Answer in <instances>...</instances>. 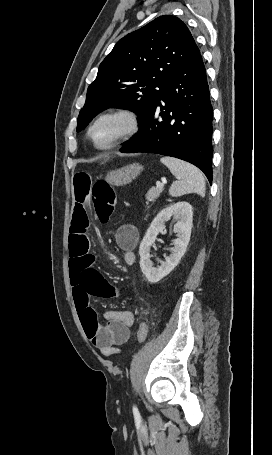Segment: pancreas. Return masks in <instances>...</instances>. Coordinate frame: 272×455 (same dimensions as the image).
Segmentation results:
<instances>
[{"mask_svg":"<svg viewBox=\"0 0 272 455\" xmlns=\"http://www.w3.org/2000/svg\"><path fill=\"white\" fill-rule=\"evenodd\" d=\"M163 188H158V187H152L149 189L148 193L146 194V204H149L150 202H154L159 195L162 193Z\"/></svg>","mask_w":272,"mask_h":455,"instance_id":"1","label":"pancreas"}]
</instances>
